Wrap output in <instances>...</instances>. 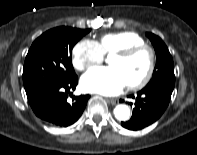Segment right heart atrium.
<instances>
[{"label": "right heart atrium", "instance_id": "right-heart-atrium-1", "mask_svg": "<svg viewBox=\"0 0 197 155\" xmlns=\"http://www.w3.org/2000/svg\"><path fill=\"white\" fill-rule=\"evenodd\" d=\"M104 60V53L98 42L80 40L72 50V64L78 71H85Z\"/></svg>", "mask_w": 197, "mask_h": 155}]
</instances>
